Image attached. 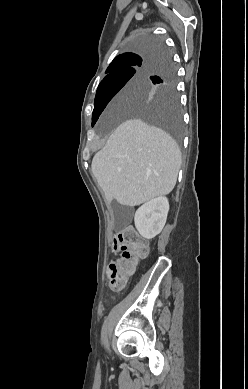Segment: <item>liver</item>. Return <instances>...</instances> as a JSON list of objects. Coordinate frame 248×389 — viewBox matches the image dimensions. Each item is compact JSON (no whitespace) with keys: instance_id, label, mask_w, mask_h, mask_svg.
I'll list each match as a JSON object with an SVG mask.
<instances>
[{"instance_id":"liver-1","label":"liver","mask_w":248,"mask_h":389,"mask_svg":"<svg viewBox=\"0 0 248 389\" xmlns=\"http://www.w3.org/2000/svg\"><path fill=\"white\" fill-rule=\"evenodd\" d=\"M131 85L124 88L116 103L136 102ZM181 166V152L165 131L140 119L120 124L103 149L92 160V173L106 200L137 206L175 187Z\"/></svg>"}]
</instances>
